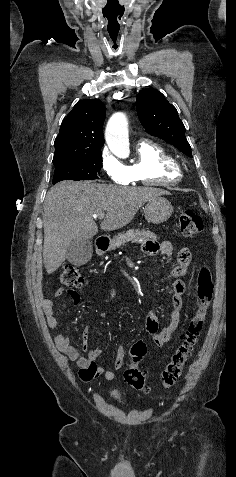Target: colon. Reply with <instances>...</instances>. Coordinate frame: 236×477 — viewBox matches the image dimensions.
Wrapping results in <instances>:
<instances>
[{
    "instance_id": "5ec220e1",
    "label": "colon",
    "mask_w": 236,
    "mask_h": 477,
    "mask_svg": "<svg viewBox=\"0 0 236 477\" xmlns=\"http://www.w3.org/2000/svg\"><path fill=\"white\" fill-rule=\"evenodd\" d=\"M179 229L184 237H194L203 229L202 218L194 211L186 210L180 215ZM60 280L65 287L71 290L81 288L84 283L80 269L73 265H68L64 268ZM213 292L214 284L211 273L207 267H203L197 278V300L194 313L187 327L180 334V344L172 354L170 361L166 364L160 376V382L164 388H172L181 377L184 366L203 329ZM146 354L147 347L143 342H136L129 350V358L133 362L142 361ZM124 379L127 384L134 389L143 392L148 391L144 371L135 367L127 368L124 372Z\"/></svg>"
}]
</instances>
